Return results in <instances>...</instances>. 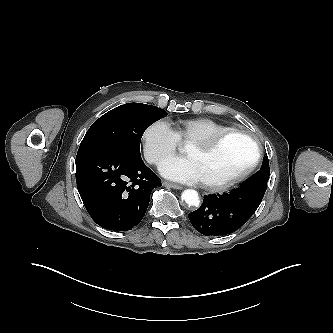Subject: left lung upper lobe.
I'll return each mask as SVG.
<instances>
[{
  "instance_id": "obj_1",
  "label": "left lung upper lobe",
  "mask_w": 333,
  "mask_h": 333,
  "mask_svg": "<svg viewBox=\"0 0 333 333\" xmlns=\"http://www.w3.org/2000/svg\"><path fill=\"white\" fill-rule=\"evenodd\" d=\"M270 175L268 157L263 158V163L260 170L253 175L249 180L243 183L241 186H267V182Z\"/></svg>"
}]
</instances>
